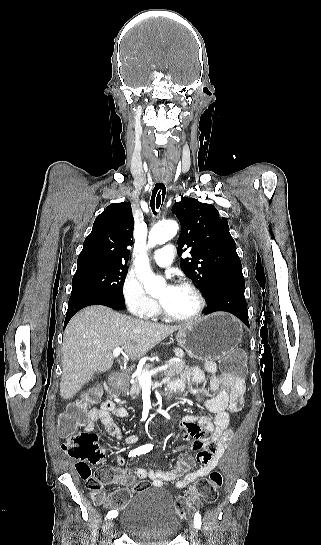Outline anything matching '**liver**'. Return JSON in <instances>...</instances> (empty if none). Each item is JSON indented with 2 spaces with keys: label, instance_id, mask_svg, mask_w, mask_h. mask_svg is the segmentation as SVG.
I'll return each mask as SVG.
<instances>
[{
  "label": "liver",
  "instance_id": "liver-1",
  "mask_svg": "<svg viewBox=\"0 0 321 545\" xmlns=\"http://www.w3.org/2000/svg\"><path fill=\"white\" fill-rule=\"evenodd\" d=\"M182 327L133 319L102 305L82 309L63 337L61 397L72 399L95 373L109 371L115 347H122L124 355L136 361Z\"/></svg>",
  "mask_w": 321,
  "mask_h": 545
}]
</instances>
